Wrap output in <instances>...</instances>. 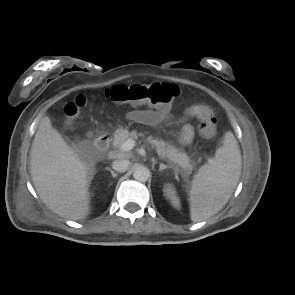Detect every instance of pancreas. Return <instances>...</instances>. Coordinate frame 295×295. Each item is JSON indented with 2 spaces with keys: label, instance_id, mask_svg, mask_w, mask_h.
<instances>
[{
  "label": "pancreas",
  "instance_id": "cf45deb5",
  "mask_svg": "<svg viewBox=\"0 0 295 295\" xmlns=\"http://www.w3.org/2000/svg\"><path fill=\"white\" fill-rule=\"evenodd\" d=\"M138 136H143V134L137 133L136 130L130 132L127 128H118L114 132L113 146L120 147L122 143H124L129 138L137 139ZM145 142L156 149L162 160L171 163L175 168L178 166L181 167L183 174H189L192 171L193 164L185 152L169 144L168 142L153 138L152 136H148L145 139Z\"/></svg>",
  "mask_w": 295,
  "mask_h": 295
}]
</instances>
